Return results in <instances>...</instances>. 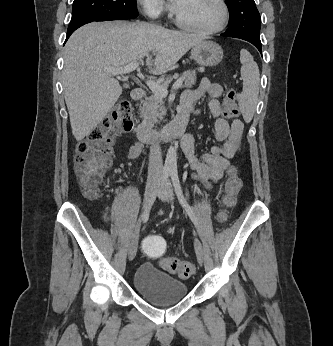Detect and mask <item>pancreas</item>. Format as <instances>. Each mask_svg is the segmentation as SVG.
Returning <instances> with one entry per match:
<instances>
[{"instance_id":"pancreas-1","label":"pancreas","mask_w":333,"mask_h":346,"mask_svg":"<svg viewBox=\"0 0 333 346\" xmlns=\"http://www.w3.org/2000/svg\"><path fill=\"white\" fill-rule=\"evenodd\" d=\"M182 78L184 79L182 87L191 88L196 82V73L195 71H186L183 73ZM171 81L172 77L169 76L162 85L167 87ZM140 111L143 124L147 127H153L154 124L158 123L159 119H162L166 114L163 99L156 95H151L146 98V100L143 101Z\"/></svg>"}]
</instances>
